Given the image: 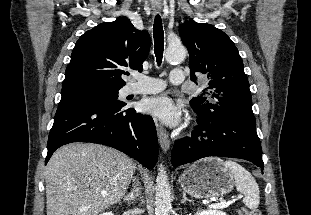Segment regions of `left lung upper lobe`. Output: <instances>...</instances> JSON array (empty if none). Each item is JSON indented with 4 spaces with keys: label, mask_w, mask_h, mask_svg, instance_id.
<instances>
[{
    "label": "left lung upper lobe",
    "mask_w": 311,
    "mask_h": 215,
    "mask_svg": "<svg viewBox=\"0 0 311 215\" xmlns=\"http://www.w3.org/2000/svg\"><path fill=\"white\" fill-rule=\"evenodd\" d=\"M180 37L189 51L191 80L195 72L206 74L207 94L193 98L195 112L218 118L225 114H253L249 82L238 49L230 38L211 24L187 21L179 27Z\"/></svg>",
    "instance_id": "left-lung-upper-lobe-1"
}]
</instances>
